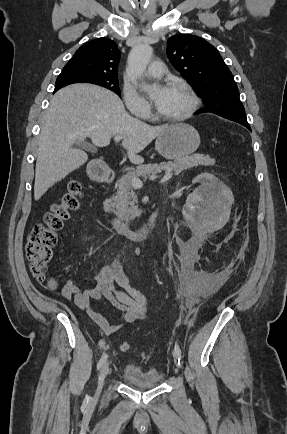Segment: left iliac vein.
<instances>
[{"label": "left iliac vein", "instance_id": "1", "mask_svg": "<svg viewBox=\"0 0 287 434\" xmlns=\"http://www.w3.org/2000/svg\"><path fill=\"white\" fill-rule=\"evenodd\" d=\"M173 357H174V359H176V360H177V354H176V352H175V351L173 352Z\"/></svg>", "mask_w": 287, "mask_h": 434}]
</instances>
